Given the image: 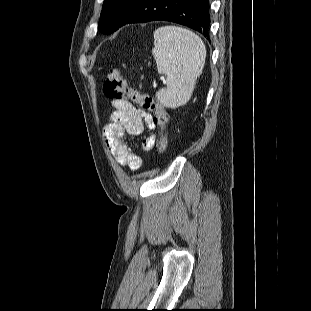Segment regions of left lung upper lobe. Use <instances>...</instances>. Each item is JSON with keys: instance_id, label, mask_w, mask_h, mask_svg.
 Wrapping results in <instances>:
<instances>
[{"instance_id": "5c2ea615", "label": "left lung upper lobe", "mask_w": 311, "mask_h": 311, "mask_svg": "<svg viewBox=\"0 0 311 311\" xmlns=\"http://www.w3.org/2000/svg\"><path fill=\"white\" fill-rule=\"evenodd\" d=\"M130 0H105L98 29L106 34L114 31L118 18Z\"/></svg>"}]
</instances>
